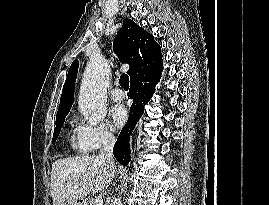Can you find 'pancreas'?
I'll list each match as a JSON object with an SVG mask.
<instances>
[{"label":"pancreas","instance_id":"cf45deb5","mask_svg":"<svg viewBox=\"0 0 269 205\" xmlns=\"http://www.w3.org/2000/svg\"><path fill=\"white\" fill-rule=\"evenodd\" d=\"M87 202L89 203V205H94L93 204V199H87ZM88 205V204H87Z\"/></svg>","mask_w":269,"mask_h":205}]
</instances>
